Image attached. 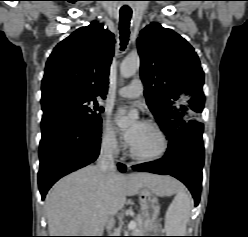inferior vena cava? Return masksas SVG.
Returning a JSON list of instances; mask_svg holds the SVG:
<instances>
[{
  "label": "inferior vena cava",
  "instance_id": "602c4592",
  "mask_svg": "<svg viewBox=\"0 0 248 237\" xmlns=\"http://www.w3.org/2000/svg\"><path fill=\"white\" fill-rule=\"evenodd\" d=\"M114 150H115V140L113 138H106L103 140L100 150V155L97 161V166L103 173L108 171H115L114 163ZM108 230L114 227L113 217L107 221L106 225Z\"/></svg>",
  "mask_w": 248,
  "mask_h": 237
}]
</instances>
